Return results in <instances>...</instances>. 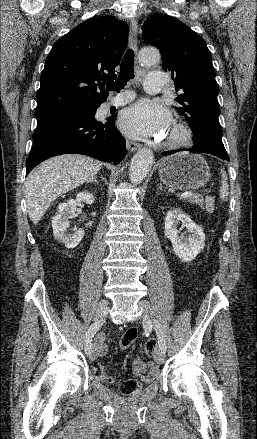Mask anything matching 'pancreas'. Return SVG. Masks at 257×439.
<instances>
[{
    "label": "pancreas",
    "instance_id": "obj_1",
    "mask_svg": "<svg viewBox=\"0 0 257 439\" xmlns=\"http://www.w3.org/2000/svg\"><path fill=\"white\" fill-rule=\"evenodd\" d=\"M187 200L191 203H195L201 208H205L206 201L204 200L202 194H193L191 197L187 198Z\"/></svg>",
    "mask_w": 257,
    "mask_h": 439
}]
</instances>
